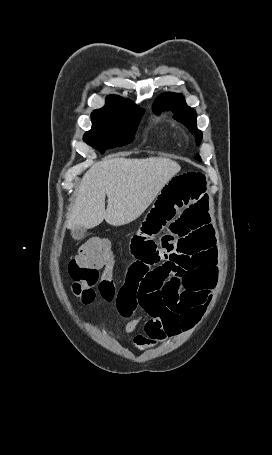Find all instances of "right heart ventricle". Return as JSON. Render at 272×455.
<instances>
[{
	"label": "right heart ventricle",
	"mask_w": 272,
	"mask_h": 455,
	"mask_svg": "<svg viewBox=\"0 0 272 455\" xmlns=\"http://www.w3.org/2000/svg\"><path fill=\"white\" fill-rule=\"evenodd\" d=\"M158 130H159V133L161 135H167L168 134V131L165 128H163V127L159 128Z\"/></svg>",
	"instance_id": "1"
}]
</instances>
